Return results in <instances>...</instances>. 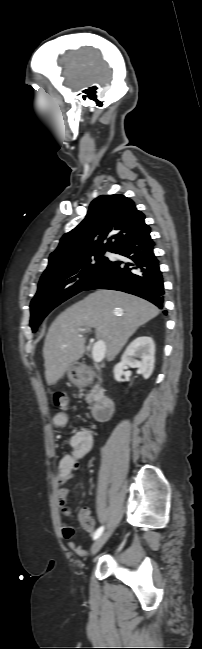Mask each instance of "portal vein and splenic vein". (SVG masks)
<instances>
[{
  "mask_svg": "<svg viewBox=\"0 0 202 649\" xmlns=\"http://www.w3.org/2000/svg\"><path fill=\"white\" fill-rule=\"evenodd\" d=\"M86 329H82L81 332L85 331ZM105 351H106V346L105 343L102 340H98L97 342L94 343L93 348H92V357L93 360L96 363H99L103 360L105 356Z\"/></svg>",
  "mask_w": 202,
  "mask_h": 649,
  "instance_id": "portal-vein-and-splenic-vein-1",
  "label": "portal vein and splenic vein"
}]
</instances>
